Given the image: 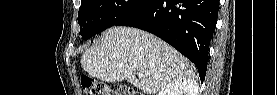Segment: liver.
Returning a JSON list of instances; mask_svg holds the SVG:
<instances>
[{
	"mask_svg": "<svg viewBox=\"0 0 277 95\" xmlns=\"http://www.w3.org/2000/svg\"><path fill=\"white\" fill-rule=\"evenodd\" d=\"M91 77L105 82L128 80L146 95H154L179 79L196 81V69L160 38L131 27L106 30L101 40L81 56ZM144 74L137 78L136 73Z\"/></svg>",
	"mask_w": 277,
	"mask_h": 95,
	"instance_id": "6515ba94",
	"label": "liver"
}]
</instances>
